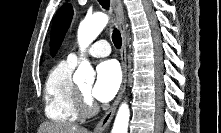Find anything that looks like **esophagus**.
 <instances>
[{
	"mask_svg": "<svg viewBox=\"0 0 221 133\" xmlns=\"http://www.w3.org/2000/svg\"><path fill=\"white\" fill-rule=\"evenodd\" d=\"M111 4L116 15L117 25H118V28L120 30L121 37H122L120 59H121L123 78H122V83H121L119 93L114 103L112 104L110 109L105 113L103 118L99 121V123L94 128V133H103L105 129L108 127V125L110 124L116 112V109L118 107V104L120 100L122 99L123 93L126 88V82H127V59H126L127 39H126L125 16H124V11H123V5L120 0H111Z\"/></svg>",
	"mask_w": 221,
	"mask_h": 133,
	"instance_id": "esophagus-1",
	"label": "esophagus"
}]
</instances>
